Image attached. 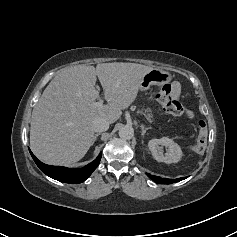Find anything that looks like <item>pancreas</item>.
<instances>
[{
  "instance_id": "obj_1",
  "label": "pancreas",
  "mask_w": 237,
  "mask_h": 237,
  "mask_svg": "<svg viewBox=\"0 0 237 237\" xmlns=\"http://www.w3.org/2000/svg\"><path fill=\"white\" fill-rule=\"evenodd\" d=\"M146 111H147V112H150V113H147V114H146L147 120H148L149 122H152V121H153V115H152V113H151V109L148 108Z\"/></svg>"
}]
</instances>
